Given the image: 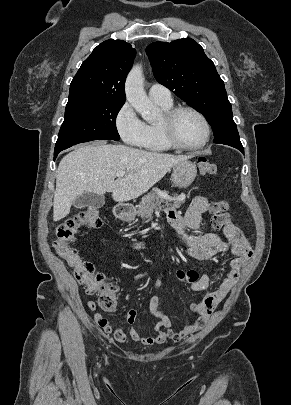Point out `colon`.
I'll list each match as a JSON object with an SVG mask.
<instances>
[{
	"instance_id": "colon-1",
	"label": "colon",
	"mask_w": 291,
	"mask_h": 405,
	"mask_svg": "<svg viewBox=\"0 0 291 405\" xmlns=\"http://www.w3.org/2000/svg\"><path fill=\"white\" fill-rule=\"evenodd\" d=\"M198 169L202 175H214L217 171L216 166L204 158L198 161ZM211 211L214 227L219 229L228 224L226 202H212ZM101 224V218L95 209H85L58 227L57 238L53 246L57 254L73 270L76 280L85 287L86 292L90 295H98L100 307L105 311L112 312L116 306L113 294L116 293L117 286L109 283L103 274L95 271L92 263L82 260L77 251L69 245L70 242L75 240L81 229H97ZM176 276L180 281L189 283L198 279V275L194 271L179 270Z\"/></svg>"
}]
</instances>
